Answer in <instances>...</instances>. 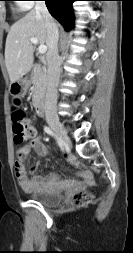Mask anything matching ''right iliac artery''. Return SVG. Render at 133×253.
Masks as SVG:
<instances>
[{
  "instance_id": "1",
  "label": "right iliac artery",
  "mask_w": 133,
  "mask_h": 253,
  "mask_svg": "<svg viewBox=\"0 0 133 253\" xmlns=\"http://www.w3.org/2000/svg\"><path fill=\"white\" fill-rule=\"evenodd\" d=\"M44 131H45L47 134L53 136L55 139H57V141L59 142V144H62L61 138H60L50 127L45 126V127H44Z\"/></svg>"
}]
</instances>
